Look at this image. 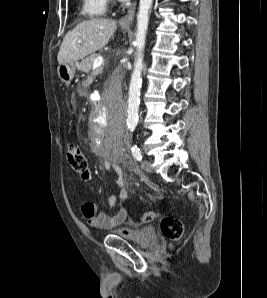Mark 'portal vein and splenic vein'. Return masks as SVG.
<instances>
[{
  "label": "portal vein and splenic vein",
  "instance_id": "obj_1",
  "mask_svg": "<svg viewBox=\"0 0 267 298\" xmlns=\"http://www.w3.org/2000/svg\"><path fill=\"white\" fill-rule=\"evenodd\" d=\"M78 43H81V40L78 41ZM104 60L102 56H98L94 62H93V68H99L103 64Z\"/></svg>",
  "mask_w": 267,
  "mask_h": 298
}]
</instances>
